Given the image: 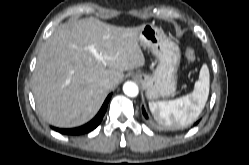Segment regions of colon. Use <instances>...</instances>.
Masks as SVG:
<instances>
[{
    "mask_svg": "<svg viewBox=\"0 0 249 165\" xmlns=\"http://www.w3.org/2000/svg\"><path fill=\"white\" fill-rule=\"evenodd\" d=\"M186 54H187V58L189 61L195 60V53H194V50L192 48H188Z\"/></svg>",
    "mask_w": 249,
    "mask_h": 165,
    "instance_id": "1",
    "label": "colon"
}]
</instances>
